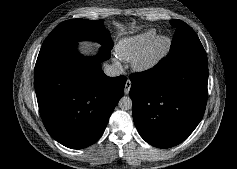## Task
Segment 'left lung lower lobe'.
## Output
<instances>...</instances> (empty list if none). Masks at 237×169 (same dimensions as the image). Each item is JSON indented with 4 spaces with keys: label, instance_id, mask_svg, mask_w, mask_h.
I'll use <instances>...</instances> for the list:
<instances>
[{
    "label": "left lung lower lobe",
    "instance_id": "left-lung-lower-lobe-1",
    "mask_svg": "<svg viewBox=\"0 0 237 169\" xmlns=\"http://www.w3.org/2000/svg\"><path fill=\"white\" fill-rule=\"evenodd\" d=\"M133 118L141 137L158 148L184 141L201 121L207 102V56H189L130 75Z\"/></svg>",
    "mask_w": 237,
    "mask_h": 169
}]
</instances>
